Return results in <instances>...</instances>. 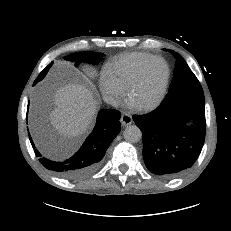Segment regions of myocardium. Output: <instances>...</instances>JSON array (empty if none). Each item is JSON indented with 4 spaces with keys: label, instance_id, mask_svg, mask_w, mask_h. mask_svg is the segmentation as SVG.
I'll list each match as a JSON object with an SVG mask.
<instances>
[{
    "label": "myocardium",
    "instance_id": "myocardium-1",
    "mask_svg": "<svg viewBox=\"0 0 231 231\" xmlns=\"http://www.w3.org/2000/svg\"><path fill=\"white\" fill-rule=\"evenodd\" d=\"M154 61H160L164 65V68H165L164 80H163V83L160 87V90L158 91V93L154 99H152L151 101H149L145 104L136 106L138 109L143 110V111L151 110V109L155 108L156 106H158L159 103L162 101L165 93H166L168 83H169V78H170V69H169L167 62L162 57L152 56L151 58L146 60L140 66L136 75L134 76V78L132 79V81L130 82V84L128 85V87L126 89L127 90V98L131 99L132 93L134 92V90L138 86V84L141 82L143 75L145 73V70Z\"/></svg>",
    "mask_w": 231,
    "mask_h": 231
}]
</instances>
